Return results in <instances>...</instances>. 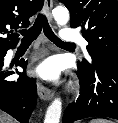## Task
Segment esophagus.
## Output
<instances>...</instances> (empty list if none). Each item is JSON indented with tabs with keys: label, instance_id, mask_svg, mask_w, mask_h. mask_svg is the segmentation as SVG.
Wrapping results in <instances>:
<instances>
[{
	"label": "esophagus",
	"instance_id": "34e87169",
	"mask_svg": "<svg viewBox=\"0 0 118 123\" xmlns=\"http://www.w3.org/2000/svg\"><path fill=\"white\" fill-rule=\"evenodd\" d=\"M52 7H53V1L45 0L44 12L46 13V15L50 21H52V14H51ZM37 91H38V95H39L40 99H42V100L48 101V100H51L53 97L52 90L45 87L40 82H38V84H37Z\"/></svg>",
	"mask_w": 118,
	"mask_h": 123
}]
</instances>
